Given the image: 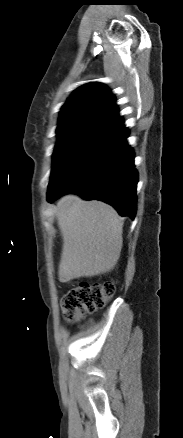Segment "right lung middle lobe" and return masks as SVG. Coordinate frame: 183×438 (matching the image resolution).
<instances>
[{"label":"right lung middle lobe","instance_id":"1","mask_svg":"<svg viewBox=\"0 0 183 438\" xmlns=\"http://www.w3.org/2000/svg\"><path fill=\"white\" fill-rule=\"evenodd\" d=\"M97 131V129L93 128H76L57 132L58 141L53 153L50 182L56 178Z\"/></svg>","mask_w":183,"mask_h":438}]
</instances>
